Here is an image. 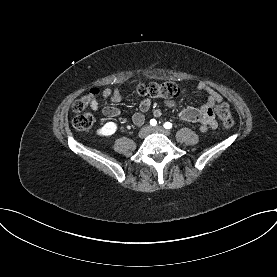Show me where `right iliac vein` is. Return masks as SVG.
<instances>
[{
	"mask_svg": "<svg viewBox=\"0 0 277 277\" xmlns=\"http://www.w3.org/2000/svg\"><path fill=\"white\" fill-rule=\"evenodd\" d=\"M149 133H150V127L145 126V127L141 128V130L138 133V136L140 138H145Z\"/></svg>",
	"mask_w": 277,
	"mask_h": 277,
	"instance_id": "63e3f726",
	"label": "right iliac vein"
}]
</instances>
